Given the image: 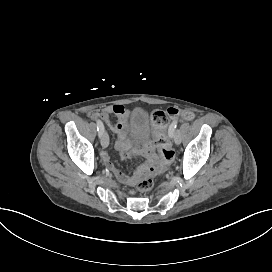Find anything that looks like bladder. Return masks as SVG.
<instances>
[{
    "mask_svg": "<svg viewBox=\"0 0 272 272\" xmlns=\"http://www.w3.org/2000/svg\"><path fill=\"white\" fill-rule=\"evenodd\" d=\"M131 122L133 125L132 132L141 135L147 132L149 127V116L143 107H134L131 114Z\"/></svg>",
    "mask_w": 272,
    "mask_h": 272,
    "instance_id": "1",
    "label": "bladder"
}]
</instances>
